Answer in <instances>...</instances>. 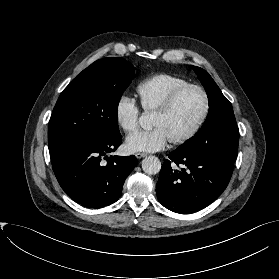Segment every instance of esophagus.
<instances>
[{
  "mask_svg": "<svg viewBox=\"0 0 279 279\" xmlns=\"http://www.w3.org/2000/svg\"><path fill=\"white\" fill-rule=\"evenodd\" d=\"M135 156H136L138 159H140V158L146 157L147 154H146V153H142V152H138V153L135 154Z\"/></svg>",
  "mask_w": 279,
  "mask_h": 279,
  "instance_id": "1",
  "label": "esophagus"
}]
</instances>
